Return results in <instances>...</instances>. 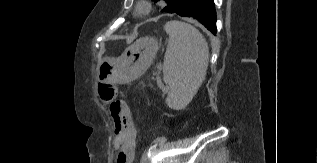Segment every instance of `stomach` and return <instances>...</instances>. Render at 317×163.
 <instances>
[{
	"mask_svg": "<svg viewBox=\"0 0 317 163\" xmlns=\"http://www.w3.org/2000/svg\"><path fill=\"white\" fill-rule=\"evenodd\" d=\"M158 51V41L151 37L138 39L118 58H103L97 65L99 82L120 83L140 76L152 63Z\"/></svg>",
	"mask_w": 317,
	"mask_h": 163,
	"instance_id": "0dacf381",
	"label": "stomach"
}]
</instances>
